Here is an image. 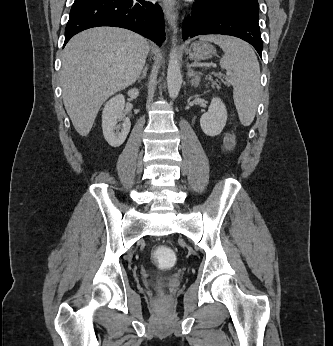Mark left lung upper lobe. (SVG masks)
<instances>
[{"mask_svg": "<svg viewBox=\"0 0 333 346\" xmlns=\"http://www.w3.org/2000/svg\"><path fill=\"white\" fill-rule=\"evenodd\" d=\"M227 5L235 12H242L259 20V5L257 0H214Z\"/></svg>", "mask_w": 333, "mask_h": 346, "instance_id": "left-lung-upper-lobe-1", "label": "left lung upper lobe"}]
</instances>
